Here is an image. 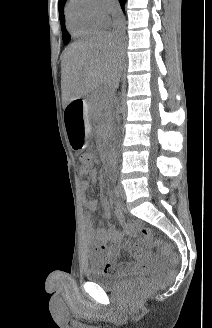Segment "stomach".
<instances>
[{"mask_svg":"<svg viewBox=\"0 0 212 328\" xmlns=\"http://www.w3.org/2000/svg\"><path fill=\"white\" fill-rule=\"evenodd\" d=\"M64 127L67 128L69 145L75 149H84L86 141L87 113L83 109V102H70L65 105Z\"/></svg>","mask_w":212,"mask_h":328,"instance_id":"0dacf381","label":"stomach"}]
</instances>
